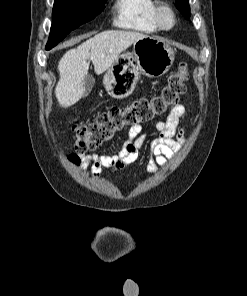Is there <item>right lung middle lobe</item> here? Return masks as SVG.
<instances>
[{
    "instance_id": "right-lung-middle-lobe-1",
    "label": "right lung middle lobe",
    "mask_w": 247,
    "mask_h": 296,
    "mask_svg": "<svg viewBox=\"0 0 247 296\" xmlns=\"http://www.w3.org/2000/svg\"><path fill=\"white\" fill-rule=\"evenodd\" d=\"M107 0H54L52 25L46 50L56 46L78 26L92 20Z\"/></svg>"
}]
</instances>
